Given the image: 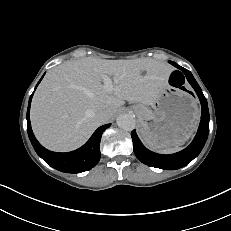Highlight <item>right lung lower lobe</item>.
<instances>
[{"label":"right lung lower lobe","mask_w":231,"mask_h":231,"mask_svg":"<svg viewBox=\"0 0 231 231\" xmlns=\"http://www.w3.org/2000/svg\"><path fill=\"white\" fill-rule=\"evenodd\" d=\"M32 96L33 93L30 96L28 110H27V131H28L29 139L37 154L51 167L61 172L80 173L93 168L99 162L101 156L100 153L101 136L103 132L108 127H110L111 124H106L99 127L91 136V138L82 147H80L75 151L68 152V153H57V152L49 151L45 149L43 146H41V144L36 140L31 129L29 113H30Z\"/></svg>","instance_id":"98d812e1"}]
</instances>
